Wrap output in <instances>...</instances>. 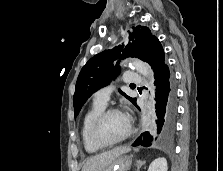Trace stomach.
Here are the masks:
<instances>
[{"label":"stomach","mask_w":223,"mask_h":171,"mask_svg":"<svg viewBox=\"0 0 223 171\" xmlns=\"http://www.w3.org/2000/svg\"><path fill=\"white\" fill-rule=\"evenodd\" d=\"M132 159L128 154H120L110 165L102 171H128L131 167Z\"/></svg>","instance_id":"1"}]
</instances>
